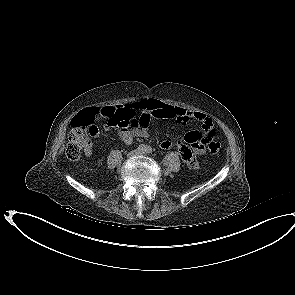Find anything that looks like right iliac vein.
<instances>
[{
    "label": "right iliac vein",
    "mask_w": 295,
    "mask_h": 295,
    "mask_svg": "<svg viewBox=\"0 0 295 295\" xmlns=\"http://www.w3.org/2000/svg\"><path fill=\"white\" fill-rule=\"evenodd\" d=\"M136 154H137V151H133V152H130L128 156L131 158L135 156Z\"/></svg>",
    "instance_id": "63e3f726"
}]
</instances>
